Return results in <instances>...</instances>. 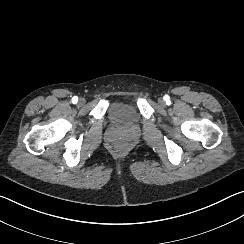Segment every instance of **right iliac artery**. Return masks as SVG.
Listing matches in <instances>:
<instances>
[{
    "mask_svg": "<svg viewBox=\"0 0 244 244\" xmlns=\"http://www.w3.org/2000/svg\"><path fill=\"white\" fill-rule=\"evenodd\" d=\"M77 101H78V97H77V96H74V97L72 98V103H73V104H76Z\"/></svg>",
    "mask_w": 244,
    "mask_h": 244,
    "instance_id": "82829eb1",
    "label": "right iliac artery"
}]
</instances>
